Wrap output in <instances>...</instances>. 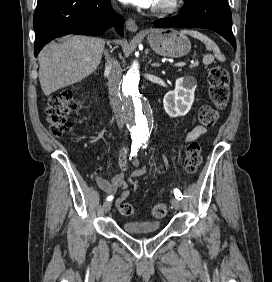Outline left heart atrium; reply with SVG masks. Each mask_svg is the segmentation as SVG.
<instances>
[{
  "label": "left heart atrium",
  "mask_w": 272,
  "mask_h": 282,
  "mask_svg": "<svg viewBox=\"0 0 272 282\" xmlns=\"http://www.w3.org/2000/svg\"><path fill=\"white\" fill-rule=\"evenodd\" d=\"M122 1H126L128 3H132L134 5L144 7V8L153 7V5L156 2V0H122Z\"/></svg>",
  "instance_id": "1"
}]
</instances>
